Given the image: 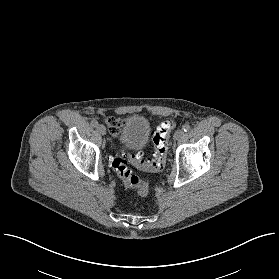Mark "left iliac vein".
<instances>
[{
	"instance_id": "4c4485c4",
	"label": "left iliac vein",
	"mask_w": 279,
	"mask_h": 279,
	"mask_svg": "<svg viewBox=\"0 0 279 279\" xmlns=\"http://www.w3.org/2000/svg\"><path fill=\"white\" fill-rule=\"evenodd\" d=\"M183 136H184V131L182 129H179L174 134V140L179 141L182 139Z\"/></svg>"
}]
</instances>
